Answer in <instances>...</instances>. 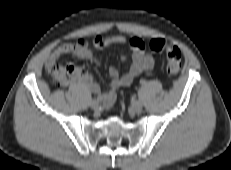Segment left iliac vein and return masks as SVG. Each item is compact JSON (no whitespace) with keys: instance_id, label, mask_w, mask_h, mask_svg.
Listing matches in <instances>:
<instances>
[{"instance_id":"4c4485c4","label":"left iliac vein","mask_w":231,"mask_h":170,"mask_svg":"<svg viewBox=\"0 0 231 170\" xmlns=\"http://www.w3.org/2000/svg\"><path fill=\"white\" fill-rule=\"evenodd\" d=\"M132 110L135 112H140L143 108V103L141 101H135L132 103Z\"/></svg>"}]
</instances>
